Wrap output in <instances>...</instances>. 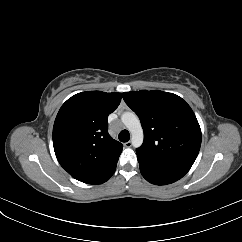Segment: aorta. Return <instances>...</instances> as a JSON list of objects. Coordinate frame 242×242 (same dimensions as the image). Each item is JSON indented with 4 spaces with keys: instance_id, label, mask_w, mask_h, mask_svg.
<instances>
[{
    "instance_id": "obj_1",
    "label": "aorta",
    "mask_w": 242,
    "mask_h": 242,
    "mask_svg": "<svg viewBox=\"0 0 242 242\" xmlns=\"http://www.w3.org/2000/svg\"><path fill=\"white\" fill-rule=\"evenodd\" d=\"M121 120L130 131L133 147H140L143 143L144 136L140 120L136 114L133 112H124L121 116Z\"/></svg>"
}]
</instances>
